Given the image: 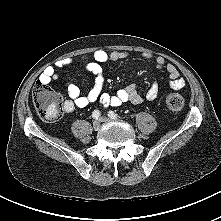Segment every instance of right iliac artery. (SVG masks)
<instances>
[{"instance_id": "right-iliac-artery-1", "label": "right iliac artery", "mask_w": 221, "mask_h": 221, "mask_svg": "<svg viewBox=\"0 0 221 221\" xmlns=\"http://www.w3.org/2000/svg\"><path fill=\"white\" fill-rule=\"evenodd\" d=\"M101 113L98 110H94V112L92 113V117L96 120H98V118L100 117Z\"/></svg>"}]
</instances>
